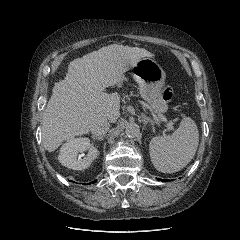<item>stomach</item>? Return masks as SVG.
I'll use <instances>...</instances> for the list:
<instances>
[{
  "label": "stomach",
  "mask_w": 240,
  "mask_h": 240,
  "mask_svg": "<svg viewBox=\"0 0 240 240\" xmlns=\"http://www.w3.org/2000/svg\"><path fill=\"white\" fill-rule=\"evenodd\" d=\"M132 70L133 78L139 84L142 99L149 103L156 113H165L168 105L162 92L166 73L162 67L152 58L145 57L136 61Z\"/></svg>",
  "instance_id": "stomach-1"
}]
</instances>
